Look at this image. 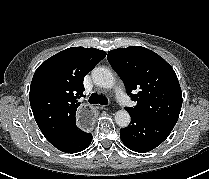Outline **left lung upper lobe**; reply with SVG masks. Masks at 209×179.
<instances>
[{"instance_id":"1","label":"left lung upper lobe","mask_w":209,"mask_h":179,"mask_svg":"<svg viewBox=\"0 0 209 179\" xmlns=\"http://www.w3.org/2000/svg\"><path fill=\"white\" fill-rule=\"evenodd\" d=\"M107 59L128 95L137 101L135 107L125 108L128 112L176 124L182 92L175 71L162 57L147 48L130 46L109 51Z\"/></svg>"}]
</instances>
